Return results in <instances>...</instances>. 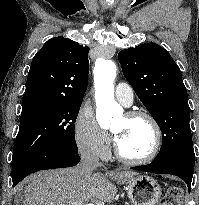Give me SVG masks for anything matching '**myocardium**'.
Segmentation results:
<instances>
[{"instance_id": "obj_1", "label": "myocardium", "mask_w": 199, "mask_h": 205, "mask_svg": "<svg viewBox=\"0 0 199 205\" xmlns=\"http://www.w3.org/2000/svg\"><path fill=\"white\" fill-rule=\"evenodd\" d=\"M125 116L127 118H143L147 120L153 131V144L148 154L142 157L133 158V157L126 156L122 152L115 138L114 139V151H115L116 157L120 161L126 164H130V165H141V164H146V163L151 162L157 157V155L160 152L161 146H162L163 134H162V128L159 122L156 120V118L152 114L144 110H130L125 113Z\"/></svg>"}]
</instances>
